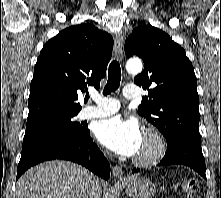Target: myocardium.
I'll return each mask as SVG.
<instances>
[{"label": "myocardium", "mask_w": 221, "mask_h": 198, "mask_svg": "<svg viewBox=\"0 0 221 198\" xmlns=\"http://www.w3.org/2000/svg\"><path fill=\"white\" fill-rule=\"evenodd\" d=\"M143 139L149 141L150 150L145 154L135 155L132 161L137 166L145 167L157 163L164 156L167 144L164 137L153 129L147 130Z\"/></svg>", "instance_id": "f54148a6"}]
</instances>
